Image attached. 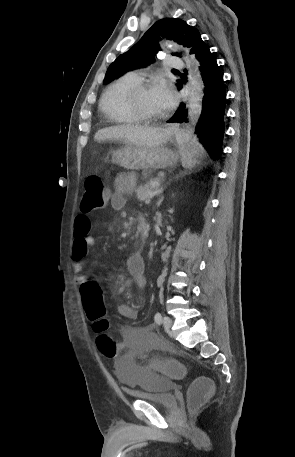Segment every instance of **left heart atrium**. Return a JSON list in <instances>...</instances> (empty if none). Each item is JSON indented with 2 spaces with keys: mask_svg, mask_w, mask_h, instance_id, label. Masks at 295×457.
Here are the masks:
<instances>
[{
  "mask_svg": "<svg viewBox=\"0 0 295 457\" xmlns=\"http://www.w3.org/2000/svg\"><path fill=\"white\" fill-rule=\"evenodd\" d=\"M152 92L156 102L164 111L170 109L176 102L175 91L167 81H158L153 87Z\"/></svg>",
  "mask_w": 295,
  "mask_h": 457,
  "instance_id": "obj_1",
  "label": "left heart atrium"
}]
</instances>
